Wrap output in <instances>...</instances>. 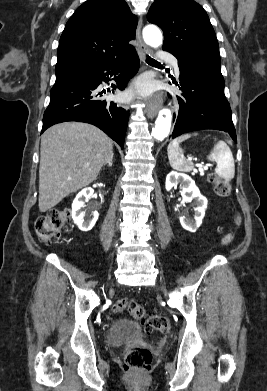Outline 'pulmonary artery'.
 <instances>
[{
    "label": "pulmonary artery",
    "instance_id": "e3ab8cb5",
    "mask_svg": "<svg viewBox=\"0 0 267 391\" xmlns=\"http://www.w3.org/2000/svg\"><path fill=\"white\" fill-rule=\"evenodd\" d=\"M160 57L168 62H170L174 68V71L176 74H179V66H178V61L177 59L170 55V54H167V53H161Z\"/></svg>",
    "mask_w": 267,
    "mask_h": 391
}]
</instances>
